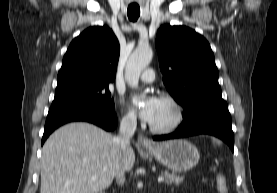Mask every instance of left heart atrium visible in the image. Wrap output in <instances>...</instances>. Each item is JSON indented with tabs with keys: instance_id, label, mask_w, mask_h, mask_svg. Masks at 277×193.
Here are the masks:
<instances>
[{
	"instance_id": "1",
	"label": "left heart atrium",
	"mask_w": 277,
	"mask_h": 193,
	"mask_svg": "<svg viewBox=\"0 0 277 193\" xmlns=\"http://www.w3.org/2000/svg\"><path fill=\"white\" fill-rule=\"evenodd\" d=\"M159 102H160L159 98L154 96L149 97L139 109L140 117L144 121L151 123V121L155 116Z\"/></svg>"
}]
</instances>
